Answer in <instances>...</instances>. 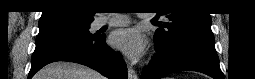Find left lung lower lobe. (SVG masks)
Wrapping results in <instances>:
<instances>
[{
    "instance_id": "0a47b994",
    "label": "left lung lower lobe",
    "mask_w": 255,
    "mask_h": 79,
    "mask_svg": "<svg viewBox=\"0 0 255 79\" xmlns=\"http://www.w3.org/2000/svg\"><path fill=\"white\" fill-rule=\"evenodd\" d=\"M155 47L157 54L142 73V79H160L178 71H198L224 79L213 34H186L164 48Z\"/></svg>"
}]
</instances>
